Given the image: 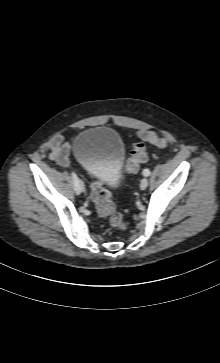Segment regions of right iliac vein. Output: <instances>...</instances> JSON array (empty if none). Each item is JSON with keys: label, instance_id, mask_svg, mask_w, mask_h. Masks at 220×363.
<instances>
[{"label": "right iliac vein", "instance_id": "right-iliac-vein-1", "mask_svg": "<svg viewBox=\"0 0 220 363\" xmlns=\"http://www.w3.org/2000/svg\"><path fill=\"white\" fill-rule=\"evenodd\" d=\"M85 190L84 183L80 180V191L83 192Z\"/></svg>", "mask_w": 220, "mask_h": 363}]
</instances>
